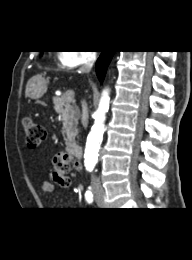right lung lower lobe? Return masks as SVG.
<instances>
[{"label":"right lung lower lobe","instance_id":"98d812e1","mask_svg":"<svg viewBox=\"0 0 192 260\" xmlns=\"http://www.w3.org/2000/svg\"><path fill=\"white\" fill-rule=\"evenodd\" d=\"M114 51H102L96 63V72L100 82L103 81L109 62Z\"/></svg>","mask_w":192,"mask_h":260}]
</instances>
